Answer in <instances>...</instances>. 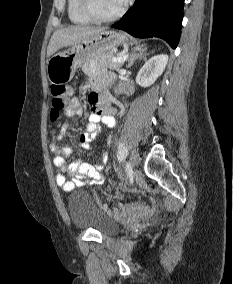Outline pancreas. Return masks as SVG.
I'll return each mask as SVG.
<instances>
[{
	"instance_id": "pancreas-1",
	"label": "pancreas",
	"mask_w": 233,
	"mask_h": 284,
	"mask_svg": "<svg viewBox=\"0 0 233 284\" xmlns=\"http://www.w3.org/2000/svg\"><path fill=\"white\" fill-rule=\"evenodd\" d=\"M114 52L99 55L82 66V71L89 76L100 75L110 70H119L123 63L113 62Z\"/></svg>"
}]
</instances>
